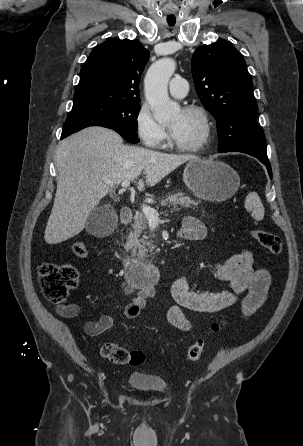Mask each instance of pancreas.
I'll list each match as a JSON object with an SVG mask.
<instances>
[{
	"label": "pancreas",
	"instance_id": "pancreas-1",
	"mask_svg": "<svg viewBox=\"0 0 303 446\" xmlns=\"http://www.w3.org/2000/svg\"><path fill=\"white\" fill-rule=\"evenodd\" d=\"M28 7H32V5H28ZM160 204L161 206L171 205L174 209H177V206H180L181 208H192V206H196L198 202L192 200L188 195L178 192L167 195L166 199L162 200ZM147 223L148 221L144 213L136 214L132 230H129L127 241L124 244L125 250L131 251L132 256L137 257L138 259L148 257L155 249L153 241L151 239L148 240L149 237L146 236L145 230L147 229Z\"/></svg>",
	"mask_w": 303,
	"mask_h": 446
}]
</instances>
